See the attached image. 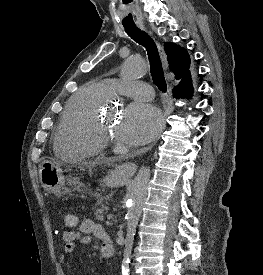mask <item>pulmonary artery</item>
I'll return each instance as SVG.
<instances>
[{"label": "pulmonary artery", "instance_id": "pulmonary-artery-1", "mask_svg": "<svg viewBox=\"0 0 263 275\" xmlns=\"http://www.w3.org/2000/svg\"><path fill=\"white\" fill-rule=\"evenodd\" d=\"M102 84L110 94L118 92L125 96L140 100H150L154 95L152 87L143 81L131 80L122 82L115 78H108L104 79Z\"/></svg>", "mask_w": 263, "mask_h": 275}]
</instances>
